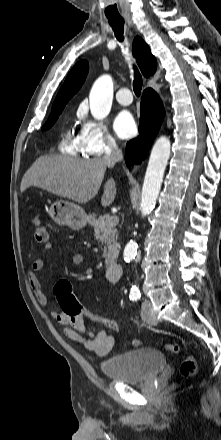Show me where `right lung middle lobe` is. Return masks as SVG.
Returning a JSON list of instances; mask_svg holds the SVG:
<instances>
[{"label": "right lung middle lobe", "mask_w": 221, "mask_h": 440, "mask_svg": "<svg viewBox=\"0 0 221 440\" xmlns=\"http://www.w3.org/2000/svg\"><path fill=\"white\" fill-rule=\"evenodd\" d=\"M63 108H64V106H60V107H56V108L52 109L51 114H50L47 122L42 127V130H47L53 126V124L56 122L59 115L61 114Z\"/></svg>", "instance_id": "1"}]
</instances>
